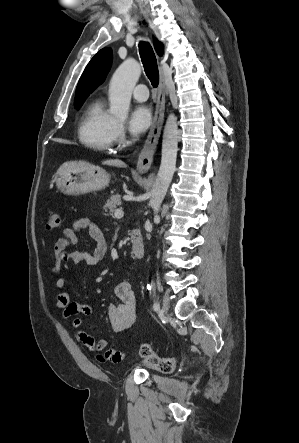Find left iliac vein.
Here are the masks:
<instances>
[{"mask_svg":"<svg viewBox=\"0 0 299 443\" xmlns=\"http://www.w3.org/2000/svg\"><path fill=\"white\" fill-rule=\"evenodd\" d=\"M169 308H170V301H169V298L167 296H165L163 298V303H162V308H161L162 313L166 314L169 311Z\"/></svg>","mask_w":299,"mask_h":443,"instance_id":"1","label":"left iliac vein"}]
</instances>
